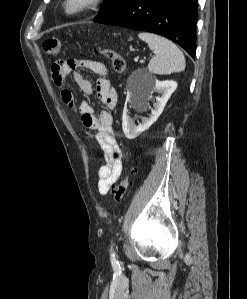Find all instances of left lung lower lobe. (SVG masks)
Listing matches in <instances>:
<instances>
[{
  "instance_id": "obj_1",
  "label": "left lung lower lobe",
  "mask_w": 247,
  "mask_h": 299,
  "mask_svg": "<svg viewBox=\"0 0 247 299\" xmlns=\"http://www.w3.org/2000/svg\"><path fill=\"white\" fill-rule=\"evenodd\" d=\"M197 7L198 0H124L97 22L165 36L194 57Z\"/></svg>"
}]
</instances>
